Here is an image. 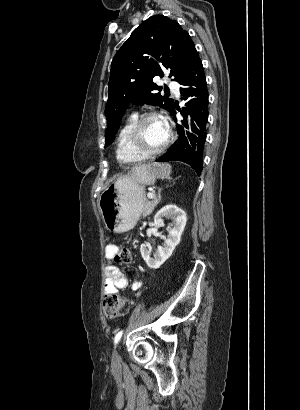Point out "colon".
I'll list each match as a JSON object with an SVG mask.
<instances>
[{
	"label": "colon",
	"mask_w": 300,
	"mask_h": 410,
	"mask_svg": "<svg viewBox=\"0 0 300 410\" xmlns=\"http://www.w3.org/2000/svg\"><path fill=\"white\" fill-rule=\"evenodd\" d=\"M114 259L117 263L127 264L131 261V252L127 247L117 249ZM124 301L116 293H107L103 300V312L107 318H116L120 315Z\"/></svg>",
	"instance_id": "obj_1"
}]
</instances>
